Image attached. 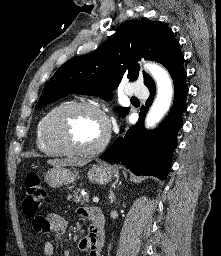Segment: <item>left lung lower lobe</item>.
Here are the masks:
<instances>
[{
    "label": "left lung lower lobe",
    "instance_id": "1",
    "mask_svg": "<svg viewBox=\"0 0 221 256\" xmlns=\"http://www.w3.org/2000/svg\"><path fill=\"white\" fill-rule=\"evenodd\" d=\"M186 76L184 68L171 76L174 82L173 107L158 128L148 131L143 122L156 91L153 84L148 87L151 93L146 102L148 107L141 108L138 123L131 126L123 137H119L100 158L109 162L124 163L136 175L165 179L177 146V132L182 127V114L187 109Z\"/></svg>",
    "mask_w": 221,
    "mask_h": 256
}]
</instances>
